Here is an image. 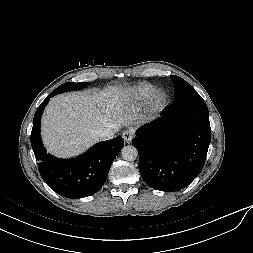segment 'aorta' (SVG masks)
I'll list each match as a JSON object with an SVG mask.
<instances>
[{
    "instance_id": "762f6f07",
    "label": "aorta",
    "mask_w": 253,
    "mask_h": 253,
    "mask_svg": "<svg viewBox=\"0 0 253 253\" xmlns=\"http://www.w3.org/2000/svg\"><path fill=\"white\" fill-rule=\"evenodd\" d=\"M121 155L124 160L134 161L138 157V151L133 145H127L122 148Z\"/></svg>"
}]
</instances>
